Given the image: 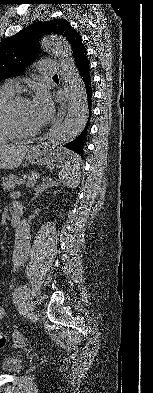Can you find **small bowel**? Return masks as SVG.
<instances>
[{
	"instance_id": "small-bowel-1",
	"label": "small bowel",
	"mask_w": 153,
	"mask_h": 393,
	"mask_svg": "<svg viewBox=\"0 0 153 393\" xmlns=\"http://www.w3.org/2000/svg\"><path fill=\"white\" fill-rule=\"evenodd\" d=\"M3 313H4V311H3V309L0 307V319L3 317Z\"/></svg>"
}]
</instances>
